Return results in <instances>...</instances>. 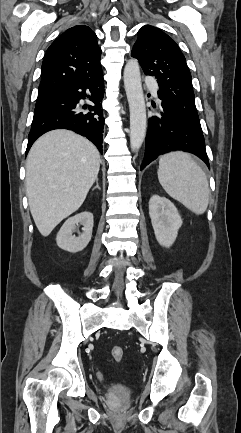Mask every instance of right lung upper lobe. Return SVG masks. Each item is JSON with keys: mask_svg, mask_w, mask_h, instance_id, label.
Returning <instances> with one entry per match:
<instances>
[{"mask_svg": "<svg viewBox=\"0 0 241 433\" xmlns=\"http://www.w3.org/2000/svg\"><path fill=\"white\" fill-rule=\"evenodd\" d=\"M100 57L96 34L88 26L66 30L45 54L38 96L51 95L66 84L98 76L102 73Z\"/></svg>", "mask_w": 241, "mask_h": 433, "instance_id": "obj_1", "label": "right lung upper lobe"}]
</instances>
